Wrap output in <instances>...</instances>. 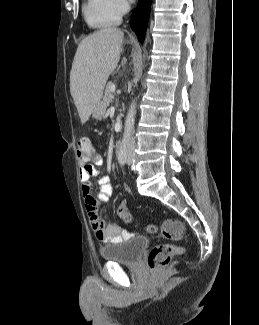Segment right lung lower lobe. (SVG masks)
Masks as SVG:
<instances>
[{
  "label": "right lung lower lobe",
  "instance_id": "98d812e1",
  "mask_svg": "<svg viewBox=\"0 0 259 325\" xmlns=\"http://www.w3.org/2000/svg\"><path fill=\"white\" fill-rule=\"evenodd\" d=\"M152 0H139L131 17V27L136 32L140 42H143L150 13Z\"/></svg>",
  "mask_w": 259,
  "mask_h": 325
}]
</instances>
